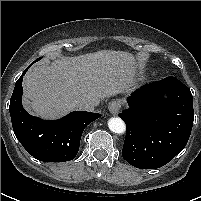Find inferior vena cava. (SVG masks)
<instances>
[{
	"mask_svg": "<svg viewBox=\"0 0 201 201\" xmlns=\"http://www.w3.org/2000/svg\"><path fill=\"white\" fill-rule=\"evenodd\" d=\"M76 107L86 111H93L99 105V98L82 97L76 100Z\"/></svg>",
	"mask_w": 201,
	"mask_h": 201,
	"instance_id": "602c4592",
	"label": "inferior vena cava"
}]
</instances>
